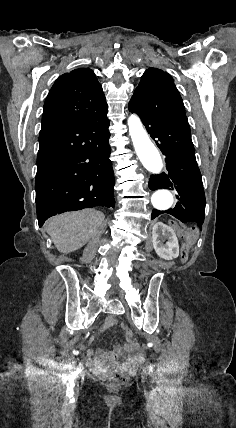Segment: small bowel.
Masks as SVG:
<instances>
[{"mask_svg":"<svg viewBox=\"0 0 236 428\" xmlns=\"http://www.w3.org/2000/svg\"><path fill=\"white\" fill-rule=\"evenodd\" d=\"M116 324V318L108 317L98 334L105 329L114 327ZM90 354L93 357L89 360V364L96 371H103L109 367H133L142 363L144 360L143 352L139 345L135 343L126 344L124 346H115L111 352L98 350L96 352L91 351Z\"/></svg>","mask_w":236,"mask_h":428,"instance_id":"c3829d8e","label":"small bowel"}]
</instances>
